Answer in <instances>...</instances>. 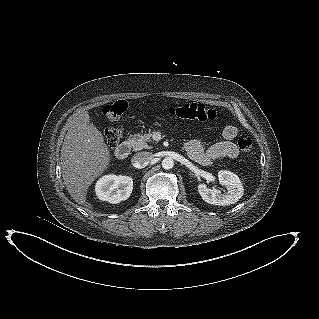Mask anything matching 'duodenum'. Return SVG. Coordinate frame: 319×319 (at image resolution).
<instances>
[{
	"label": "duodenum",
	"mask_w": 319,
	"mask_h": 319,
	"mask_svg": "<svg viewBox=\"0 0 319 319\" xmlns=\"http://www.w3.org/2000/svg\"><path fill=\"white\" fill-rule=\"evenodd\" d=\"M130 143L127 141L122 142L119 144L115 149V155L118 159H125L130 153Z\"/></svg>",
	"instance_id": "obj_1"
}]
</instances>
